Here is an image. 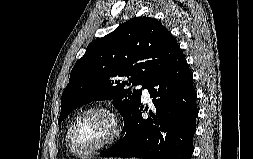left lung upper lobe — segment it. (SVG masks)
Returning <instances> with one entry per match:
<instances>
[{"label":"left lung upper lobe","instance_id":"5c2ea615","mask_svg":"<svg viewBox=\"0 0 253 159\" xmlns=\"http://www.w3.org/2000/svg\"><path fill=\"white\" fill-rule=\"evenodd\" d=\"M179 50L171 33L149 17L131 19L91 42L71 71L58 123L81 105L108 99H113L125 123L141 103L142 93L125 86L145 87Z\"/></svg>","mask_w":253,"mask_h":159}]
</instances>
